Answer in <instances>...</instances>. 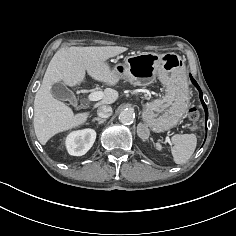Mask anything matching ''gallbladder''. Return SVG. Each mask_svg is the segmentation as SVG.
Listing matches in <instances>:
<instances>
[{
    "label": "gallbladder",
    "mask_w": 236,
    "mask_h": 236,
    "mask_svg": "<svg viewBox=\"0 0 236 236\" xmlns=\"http://www.w3.org/2000/svg\"><path fill=\"white\" fill-rule=\"evenodd\" d=\"M52 95L62 101H68L71 105H77V99L74 93L63 83L57 82L51 86Z\"/></svg>",
    "instance_id": "bac80fb5"
}]
</instances>
